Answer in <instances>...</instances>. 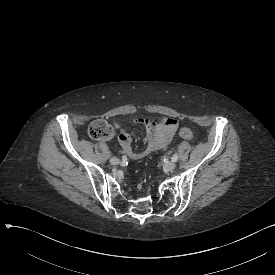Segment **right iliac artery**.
<instances>
[{
	"mask_svg": "<svg viewBox=\"0 0 275 275\" xmlns=\"http://www.w3.org/2000/svg\"><path fill=\"white\" fill-rule=\"evenodd\" d=\"M126 159H127L126 157H124V156L122 157V160H123V161H125Z\"/></svg>",
	"mask_w": 275,
	"mask_h": 275,
	"instance_id": "right-iliac-artery-1",
	"label": "right iliac artery"
}]
</instances>
